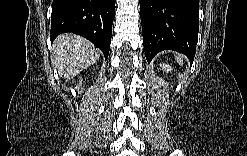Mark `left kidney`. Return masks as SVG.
<instances>
[{"instance_id": "obj_1", "label": "left kidney", "mask_w": 247, "mask_h": 156, "mask_svg": "<svg viewBox=\"0 0 247 156\" xmlns=\"http://www.w3.org/2000/svg\"><path fill=\"white\" fill-rule=\"evenodd\" d=\"M160 66H161L162 70L166 71L167 73L169 71H172V68L166 63H160Z\"/></svg>"}]
</instances>
